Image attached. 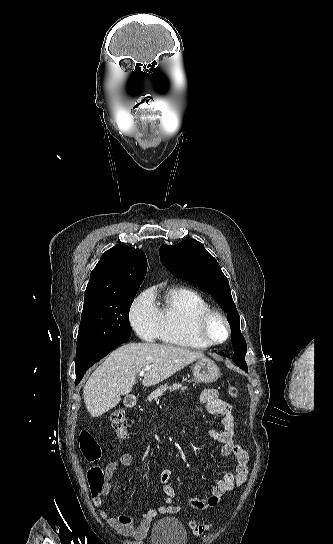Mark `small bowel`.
I'll return each mask as SVG.
<instances>
[{
  "instance_id": "1",
  "label": "small bowel",
  "mask_w": 333,
  "mask_h": 544,
  "mask_svg": "<svg viewBox=\"0 0 333 544\" xmlns=\"http://www.w3.org/2000/svg\"><path fill=\"white\" fill-rule=\"evenodd\" d=\"M199 401L204 405L205 410L210 414L222 415V428H211L209 435L220 444V453L223 457H233L236 466L233 471L227 472L222 478L218 479L211 490V494L206 498L190 496L187 503L190 507L196 510H206L215 507L221 498L228 491L242 485L248 478L249 474V455L248 453L234 441L235 421L231 413V405L220 399L218 392L215 389H204ZM133 463V458L130 454L124 453L117 459L111 461L105 467L106 483L99 492H92V501L98 509L100 516L119 534L127 537L141 540L145 538L150 527L151 521L158 515L177 513L180 507L174 505L176 491L171 485L172 477L171 469H163L160 473V480L163 484V493L165 495L164 504L155 508L149 509L140 517L119 514L109 516L102 509L104 498L111 490L109 479L119 467H130Z\"/></svg>"
}]
</instances>
